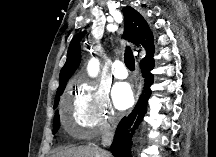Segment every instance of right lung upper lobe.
Masks as SVG:
<instances>
[{
  "label": "right lung upper lobe",
  "instance_id": "right-lung-upper-lobe-1",
  "mask_svg": "<svg viewBox=\"0 0 216 157\" xmlns=\"http://www.w3.org/2000/svg\"><path fill=\"white\" fill-rule=\"evenodd\" d=\"M125 30L123 37L135 45H142L146 50V56L142 62L147 61L154 54L153 34L144 18L132 7L123 9ZM85 32L78 33L70 42L67 52V60L60 71L59 87L57 95L64 90L65 85L80 63V40ZM56 95V97H57Z\"/></svg>",
  "mask_w": 216,
  "mask_h": 157
}]
</instances>
